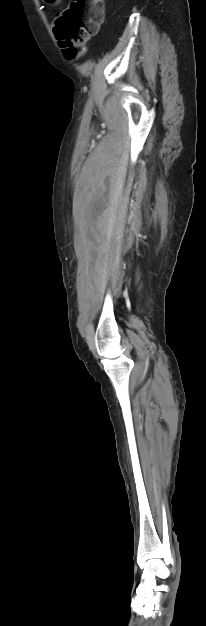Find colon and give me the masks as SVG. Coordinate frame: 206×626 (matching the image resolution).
<instances>
[{
    "mask_svg": "<svg viewBox=\"0 0 206 626\" xmlns=\"http://www.w3.org/2000/svg\"><path fill=\"white\" fill-rule=\"evenodd\" d=\"M103 19V0H70L68 7L56 15L53 27L66 58L76 59L82 54L84 44L97 33Z\"/></svg>",
    "mask_w": 206,
    "mask_h": 626,
    "instance_id": "5ec220e1",
    "label": "colon"
}]
</instances>
